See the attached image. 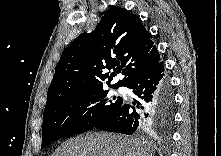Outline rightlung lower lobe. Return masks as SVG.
Here are the masks:
<instances>
[{
	"instance_id": "right-lung-lower-lobe-1",
	"label": "right lung lower lobe",
	"mask_w": 221,
	"mask_h": 156,
	"mask_svg": "<svg viewBox=\"0 0 221 156\" xmlns=\"http://www.w3.org/2000/svg\"><path fill=\"white\" fill-rule=\"evenodd\" d=\"M138 97L132 104L122 103L119 109L94 128L131 135L139 128L169 127L173 120L174 99L163 62L138 75L125 86Z\"/></svg>"
}]
</instances>
